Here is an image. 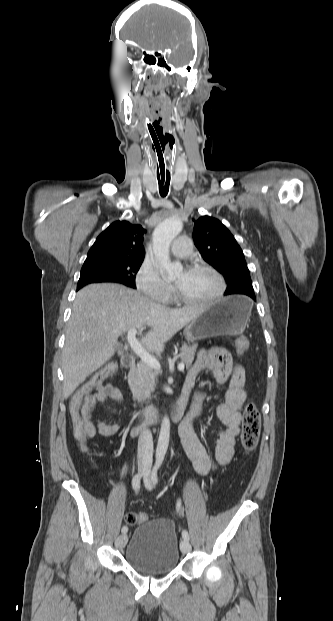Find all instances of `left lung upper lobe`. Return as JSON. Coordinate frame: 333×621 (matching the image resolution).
Wrapping results in <instances>:
<instances>
[{
	"label": "left lung upper lobe",
	"instance_id": "left-lung-upper-lobe-1",
	"mask_svg": "<svg viewBox=\"0 0 333 621\" xmlns=\"http://www.w3.org/2000/svg\"><path fill=\"white\" fill-rule=\"evenodd\" d=\"M193 236L203 259L226 278L225 295L255 296L242 249L218 219L203 216L195 220Z\"/></svg>",
	"mask_w": 333,
	"mask_h": 621
}]
</instances>
